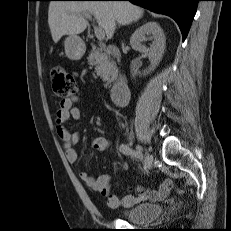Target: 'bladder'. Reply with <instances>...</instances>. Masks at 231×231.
<instances>
[{
    "label": "bladder",
    "mask_w": 231,
    "mask_h": 231,
    "mask_svg": "<svg viewBox=\"0 0 231 231\" xmlns=\"http://www.w3.org/2000/svg\"><path fill=\"white\" fill-rule=\"evenodd\" d=\"M162 213L160 204H135L120 211L121 216L128 222L143 224L157 219Z\"/></svg>",
    "instance_id": "31cf9c89"
}]
</instances>
